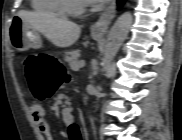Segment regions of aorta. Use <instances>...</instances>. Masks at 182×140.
Here are the masks:
<instances>
[{
	"label": "aorta",
	"instance_id": "aorta-1",
	"mask_svg": "<svg viewBox=\"0 0 182 140\" xmlns=\"http://www.w3.org/2000/svg\"><path fill=\"white\" fill-rule=\"evenodd\" d=\"M132 22V14L130 12H125L118 17V19L112 26L108 34L106 44L104 46V68H106V66L109 65L116 56L122 43L128 35Z\"/></svg>",
	"mask_w": 182,
	"mask_h": 140
}]
</instances>
